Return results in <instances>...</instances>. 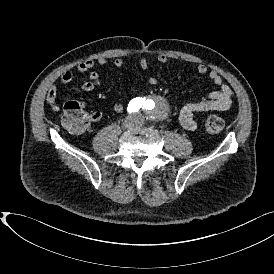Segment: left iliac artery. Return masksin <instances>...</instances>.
<instances>
[{
	"mask_svg": "<svg viewBox=\"0 0 274 274\" xmlns=\"http://www.w3.org/2000/svg\"><path fill=\"white\" fill-rule=\"evenodd\" d=\"M144 107L146 110H151L154 106H153V101L152 100H146L144 101Z\"/></svg>",
	"mask_w": 274,
	"mask_h": 274,
	"instance_id": "left-iliac-artery-1",
	"label": "left iliac artery"
}]
</instances>
